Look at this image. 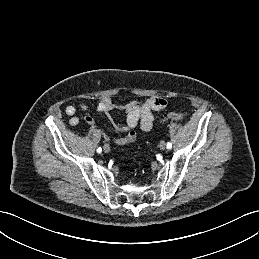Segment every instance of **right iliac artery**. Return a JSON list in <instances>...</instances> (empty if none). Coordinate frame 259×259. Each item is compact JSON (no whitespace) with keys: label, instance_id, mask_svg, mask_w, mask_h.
I'll list each match as a JSON object with an SVG mask.
<instances>
[{"label":"right iliac artery","instance_id":"right-iliac-artery-1","mask_svg":"<svg viewBox=\"0 0 259 259\" xmlns=\"http://www.w3.org/2000/svg\"><path fill=\"white\" fill-rule=\"evenodd\" d=\"M101 151H102V148L99 147V148L97 149V152H98V153H101Z\"/></svg>","mask_w":259,"mask_h":259}]
</instances>
